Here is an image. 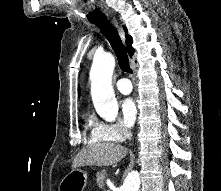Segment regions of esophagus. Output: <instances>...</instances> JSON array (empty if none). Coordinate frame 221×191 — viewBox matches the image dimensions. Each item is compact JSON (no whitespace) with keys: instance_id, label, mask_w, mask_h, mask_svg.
<instances>
[{"instance_id":"1","label":"esophagus","mask_w":221,"mask_h":191,"mask_svg":"<svg viewBox=\"0 0 221 191\" xmlns=\"http://www.w3.org/2000/svg\"><path fill=\"white\" fill-rule=\"evenodd\" d=\"M110 19H111L112 23L118 28L121 37L124 39L125 38L124 37V31H123L122 27L119 26L118 21L114 17L110 18Z\"/></svg>"}]
</instances>
